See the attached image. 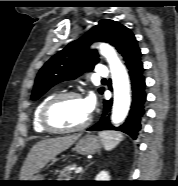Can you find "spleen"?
Segmentation results:
<instances>
[{
    "label": "spleen",
    "instance_id": "obj_1",
    "mask_svg": "<svg viewBox=\"0 0 178 186\" xmlns=\"http://www.w3.org/2000/svg\"><path fill=\"white\" fill-rule=\"evenodd\" d=\"M99 136L107 151L114 149L124 138L121 133L114 131H100Z\"/></svg>",
    "mask_w": 178,
    "mask_h": 186
}]
</instances>
